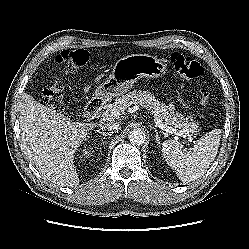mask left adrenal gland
Here are the masks:
<instances>
[{"label":"left adrenal gland","instance_id":"obj_1","mask_svg":"<svg viewBox=\"0 0 249 249\" xmlns=\"http://www.w3.org/2000/svg\"><path fill=\"white\" fill-rule=\"evenodd\" d=\"M151 129H154V131L156 133L155 134V141H156V143L160 144V137H159V133H158L157 129L155 127H151Z\"/></svg>","mask_w":249,"mask_h":249}]
</instances>
